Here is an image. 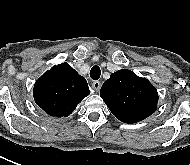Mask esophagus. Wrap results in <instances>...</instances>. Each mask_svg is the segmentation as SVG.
<instances>
[{
    "label": "esophagus",
    "instance_id": "obj_1",
    "mask_svg": "<svg viewBox=\"0 0 190 165\" xmlns=\"http://www.w3.org/2000/svg\"><path fill=\"white\" fill-rule=\"evenodd\" d=\"M92 88H93L96 92L100 91L101 83H100L99 81H94V82L92 83Z\"/></svg>",
    "mask_w": 190,
    "mask_h": 165
}]
</instances>
